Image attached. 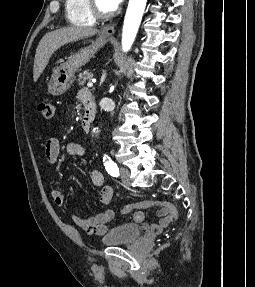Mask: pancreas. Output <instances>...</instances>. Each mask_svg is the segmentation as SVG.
Returning a JSON list of instances; mask_svg holds the SVG:
<instances>
[{
  "label": "pancreas",
  "instance_id": "obj_1",
  "mask_svg": "<svg viewBox=\"0 0 255 287\" xmlns=\"http://www.w3.org/2000/svg\"><path fill=\"white\" fill-rule=\"evenodd\" d=\"M92 78L93 72H90V70H85V72L79 74L77 82L79 86H84L85 82H87V80H92Z\"/></svg>",
  "mask_w": 255,
  "mask_h": 287
}]
</instances>
